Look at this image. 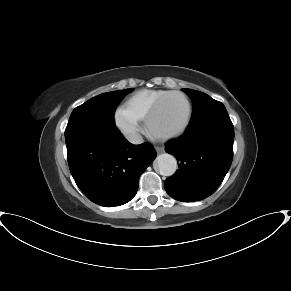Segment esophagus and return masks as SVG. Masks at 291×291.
Here are the masks:
<instances>
[{
    "mask_svg": "<svg viewBox=\"0 0 291 291\" xmlns=\"http://www.w3.org/2000/svg\"><path fill=\"white\" fill-rule=\"evenodd\" d=\"M155 150H156L157 153H163L164 152V148L160 147V146H156Z\"/></svg>",
    "mask_w": 291,
    "mask_h": 291,
    "instance_id": "esophagus-1",
    "label": "esophagus"
}]
</instances>
